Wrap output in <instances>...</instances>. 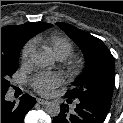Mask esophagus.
Segmentation results:
<instances>
[{
	"mask_svg": "<svg viewBox=\"0 0 123 123\" xmlns=\"http://www.w3.org/2000/svg\"><path fill=\"white\" fill-rule=\"evenodd\" d=\"M37 103H39V104H41V105H45V104L48 103V101H47V100H44V99H41V98H38V99H37Z\"/></svg>",
	"mask_w": 123,
	"mask_h": 123,
	"instance_id": "1",
	"label": "esophagus"
}]
</instances>
